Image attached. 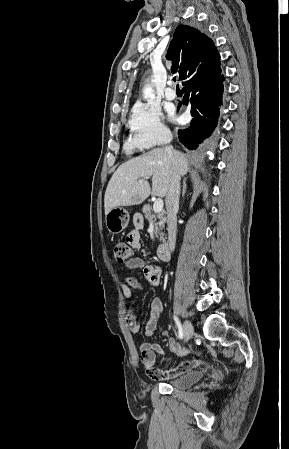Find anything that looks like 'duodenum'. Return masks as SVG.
Instances as JSON below:
<instances>
[{
	"label": "duodenum",
	"mask_w": 289,
	"mask_h": 449,
	"mask_svg": "<svg viewBox=\"0 0 289 449\" xmlns=\"http://www.w3.org/2000/svg\"><path fill=\"white\" fill-rule=\"evenodd\" d=\"M158 258L161 261H168L170 258V248L168 244H161L157 249Z\"/></svg>",
	"instance_id": "obj_1"
}]
</instances>
